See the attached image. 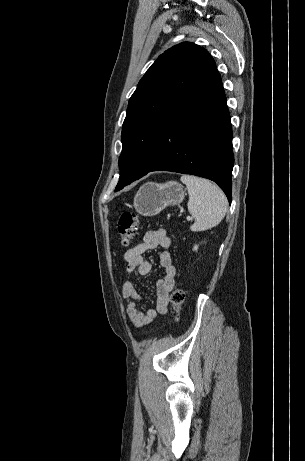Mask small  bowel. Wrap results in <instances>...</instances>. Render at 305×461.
<instances>
[{
    "label": "small bowel",
    "instance_id": "c3829d8e",
    "mask_svg": "<svg viewBox=\"0 0 305 461\" xmlns=\"http://www.w3.org/2000/svg\"><path fill=\"white\" fill-rule=\"evenodd\" d=\"M170 245L171 240L164 229L148 231L144 235L142 242L128 249L123 255L128 273L146 276L150 273L152 266L148 260L144 259V253L156 248L163 250L160 255V264L164 270V276L157 282L158 297L154 308H148L143 311L138 306L141 296L133 282L126 281L122 286V296L127 302L126 313L128 319L137 327L149 324L157 314H165L168 310L169 294L176 280V268L168 251Z\"/></svg>",
    "mask_w": 305,
    "mask_h": 461
}]
</instances>
